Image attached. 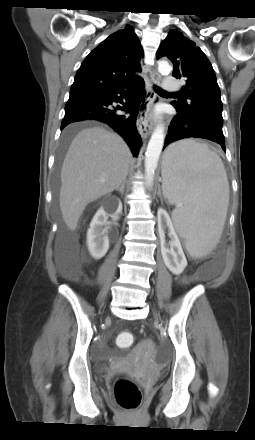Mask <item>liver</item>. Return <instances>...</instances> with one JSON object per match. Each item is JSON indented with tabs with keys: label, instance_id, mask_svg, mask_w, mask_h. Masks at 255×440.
<instances>
[{
	"label": "liver",
	"instance_id": "obj_1",
	"mask_svg": "<svg viewBox=\"0 0 255 440\" xmlns=\"http://www.w3.org/2000/svg\"><path fill=\"white\" fill-rule=\"evenodd\" d=\"M131 159L129 147L116 133L91 127L76 135L61 168L59 196L63 221L71 231L88 203L123 183Z\"/></svg>",
	"mask_w": 255,
	"mask_h": 440
}]
</instances>
